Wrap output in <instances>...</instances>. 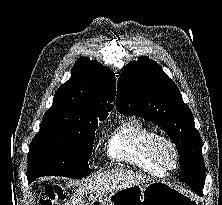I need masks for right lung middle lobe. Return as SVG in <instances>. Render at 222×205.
Instances as JSON below:
<instances>
[{"mask_svg":"<svg viewBox=\"0 0 222 205\" xmlns=\"http://www.w3.org/2000/svg\"><path fill=\"white\" fill-rule=\"evenodd\" d=\"M101 120H43L28 153V179L56 175L74 179L91 172L95 130Z\"/></svg>","mask_w":222,"mask_h":205,"instance_id":"right-lung-middle-lobe-1","label":"right lung middle lobe"}]
</instances>
